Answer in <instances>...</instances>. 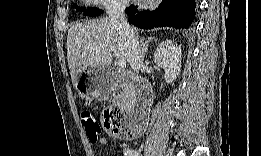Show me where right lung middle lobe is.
I'll return each instance as SVG.
<instances>
[{
  "label": "right lung middle lobe",
  "mask_w": 261,
  "mask_h": 156,
  "mask_svg": "<svg viewBox=\"0 0 261 156\" xmlns=\"http://www.w3.org/2000/svg\"><path fill=\"white\" fill-rule=\"evenodd\" d=\"M75 6V5H73ZM80 11H83L84 8H80L79 9ZM101 13H103V10H100V9H97V8H89L87 10L84 11V15L86 16H98L100 15Z\"/></svg>",
  "instance_id": "1"
}]
</instances>
